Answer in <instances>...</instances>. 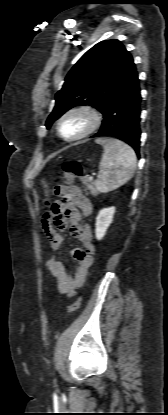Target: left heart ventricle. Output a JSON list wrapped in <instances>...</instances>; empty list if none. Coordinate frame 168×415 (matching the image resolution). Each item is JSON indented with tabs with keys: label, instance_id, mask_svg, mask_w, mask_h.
<instances>
[{
	"label": "left heart ventricle",
	"instance_id": "1",
	"mask_svg": "<svg viewBox=\"0 0 168 415\" xmlns=\"http://www.w3.org/2000/svg\"><path fill=\"white\" fill-rule=\"evenodd\" d=\"M88 124V118L84 114H72L62 121L61 132L65 137H74L82 133Z\"/></svg>",
	"mask_w": 168,
	"mask_h": 415
}]
</instances>
